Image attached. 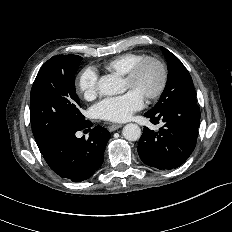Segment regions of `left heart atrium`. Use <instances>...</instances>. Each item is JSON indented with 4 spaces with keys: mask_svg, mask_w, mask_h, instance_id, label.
Segmentation results:
<instances>
[{
    "mask_svg": "<svg viewBox=\"0 0 232 232\" xmlns=\"http://www.w3.org/2000/svg\"><path fill=\"white\" fill-rule=\"evenodd\" d=\"M143 105V96L132 89L123 95L103 99L96 104L94 110L96 115L103 120L124 122L134 112L142 109Z\"/></svg>",
    "mask_w": 232,
    "mask_h": 232,
    "instance_id": "39dd6f15",
    "label": "left heart atrium"
}]
</instances>
